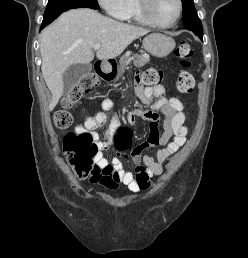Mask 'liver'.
Listing matches in <instances>:
<instances>
[{"instance_id": "1", "label": "liver", "mask_w": 248, "mask_h": 258, "mask_svg": "<svg viewBox=\"0 0 248 258\" xmlns=\"http://www.w3.org/2000/svg\"><path fill=\"white\" fill-rule=\"evenodd\" d=\"M147 29L105 17L89 8L67 11L41 35L42 74L52 99L49 110L57 105L64 92L63 74L72 64H87L94 59L93 47L100 44L96 57L100 60L119 56Z\"/></svg>"}]
</instances>
